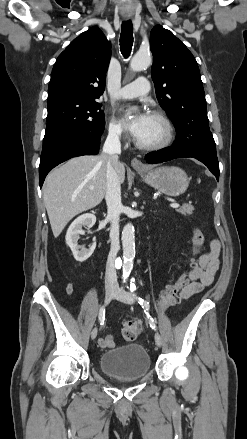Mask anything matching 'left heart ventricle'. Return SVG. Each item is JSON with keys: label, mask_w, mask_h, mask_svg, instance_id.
I'll use <instances>...</instances> for the list:
<instances>
[{"label": "left heart ventricle", "mask_w": 247, "mask_h": 439, "mask_svg": "<svg viewBox=\"0 0 247 439\" xmlns=\"http://www.w3.org/2000/svg\"><path fill=\"white\" fill-rule=\"evenodd\" d=\"M164 136L165 129L162 122L153 116H149L147 126L137 140L143 144H154L160 142Z\"/></svg>", "instance_id": "1"}]
</instances>
